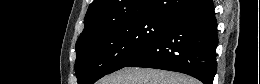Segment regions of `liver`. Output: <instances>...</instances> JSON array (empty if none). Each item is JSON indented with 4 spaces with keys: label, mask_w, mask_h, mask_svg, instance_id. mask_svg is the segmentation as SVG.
<instances>
[{
    "label": "liver",
    "mask_w": 260,
    "mask_h": 84,
    "mask_svg": "<svg viewBox=\"0 0 260 84\" xmlns=\"http://www.w3.org/2000/svg\"><path fill=\"white\" fill-rule=\"evenodd\" d=\"M98 84H199L188 75L147 68L120 69L99 81Z\"/></svg>",
    "instance_id": "obj_1"
}]
</instances>
